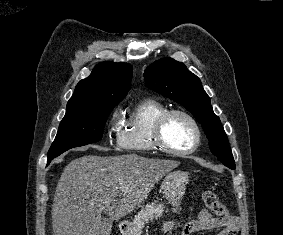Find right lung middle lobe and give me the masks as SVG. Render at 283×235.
<instances>
[{
  "label": "right lung middle lobe",
  "instance_id": "right-lung-middle-lobe-1",
  "mask_svg": "<svg viewBox=\"0 0 283 235\" xmlns=\"http://www.w3.org/2000/svg\"><path fill=\"white\" fill-rule=\"evenodd\" d=\"M119 102L67 104L66 114L48 152V163L71 148L101 140L106 120Z\"/></svg>",
  "mask_w": 283,
  "mask_h": 235
}]
</instances>
